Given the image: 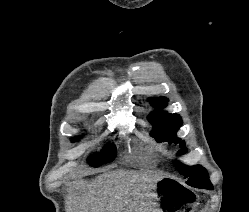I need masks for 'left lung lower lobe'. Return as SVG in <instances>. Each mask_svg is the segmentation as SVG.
Returning <instances> with one entry per match:
<instances>
[{
  "label": "left lung lower lobe",
  "instance_id": "1",
  "mask_svg": "<svg viewBox=\"0 0 249 212\" xmlns=\"http://www.w3.org/2000/svg\"><path fill=\"white\" fill-rule=\"evenodd\" d=\"M197 188H205V189H209V190H213V186L212 184H205V185H198V186H195Z\"/></svg>",
  "mask_w": 249,
  "mask_h": 212
}]
</instances>
